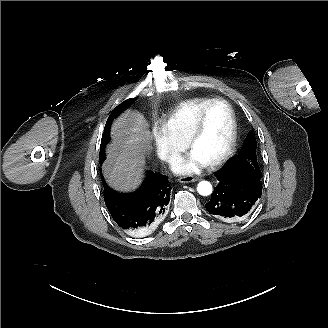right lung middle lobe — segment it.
<instances>
[{
  "label": "right lung middle lobe",
  "instance_id": "dd1d6c3e",
  "mask_svg": "<svg viewBox=\"0 0 328 328\" xmlns=\"http://www.w3.org/2000/svg\"><path fill=\"white\" fill-rule=\"evenodd\" d=\"M134 100H135L134 98L125 100L124 102L119 104L108 117L105 128H104L102 140H101V145H100L99 158H100L101 164L105 160V147L110 140V127H111L113 119L116 118L119 114H121L122 111L126 110L127 107H129L131 105V103L134 102Z\"/></svg>",
  "mask_w": 328,
  "mask_h": 328
}]
</instances>
